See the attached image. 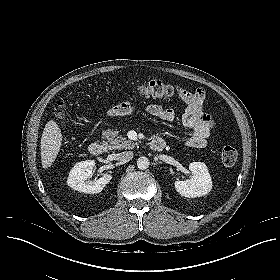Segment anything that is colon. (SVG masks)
<instances>
[{
    "label": "colon",
    "instance_id": "1",
    "mask_svg": "<svg viewBox=\"0 0 280 280\" xmlns=\"http://www.w3.org/2000/svg\"><path fill=\"white\" fill-rule=\"evenodd\" d=\"M137 94L143 97H160L166 98L173 94V87L162 80H151L141 82L134 86ZM133 112V105L131 103H124L121 105V113L130 115ZM55 116L62 125L66 117V104L59 101L54 109ZM238 157V152L235 148L227 146L224 147L221 153V160L225 166H233Z\"/></svg>",
    "mask_w": 280,
    "mask_h": 280
}]
</instances>
